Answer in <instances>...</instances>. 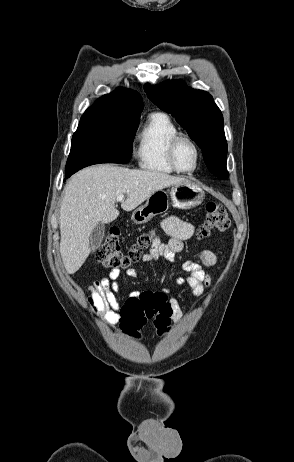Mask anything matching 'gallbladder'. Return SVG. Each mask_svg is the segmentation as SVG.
Listing matches in <instances>:
<instances>
[{"instance_id":"bac80fb5","label":"gallbladder","mask_w":294,"mask_h":462,"mask_svg":"<svg viewBox=\"0 0 294 462\" xmlns=\"http://www.w3.org/2000/svg\"><path fill=\"white\" fill-rule=\"evenodd\" d=\"M105 226L103 223H98L97 226L92 230L89 243L92 251H95L100 245L104 238Z\"/></svg>"}]
</instances>
